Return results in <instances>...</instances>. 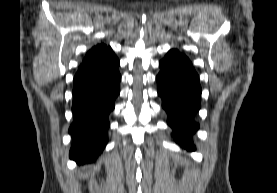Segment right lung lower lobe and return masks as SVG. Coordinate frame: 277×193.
Returning <instances> with one entry per match:
<instances>
[{
  "label": "right lung lower lobe",
  "mask_w": 277,
  "mask_h": 193,
  "mask_svg": "<svg viewBox=\"0 0 277 193\" xmlns=\"http://www.w3.org/2000/svg\"><path fill=\"white\" fill-rule=\"evenodd\" d=\"M119 60L113 51L84 61L74 77L70 159L77 163L95 160L108 140L109 113L119 95Z\"/></svg>",
  "instance_id": "1"
}]
</instances>
